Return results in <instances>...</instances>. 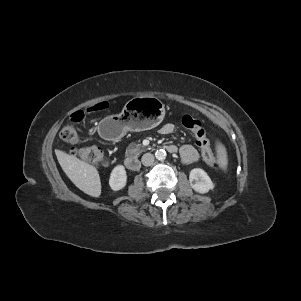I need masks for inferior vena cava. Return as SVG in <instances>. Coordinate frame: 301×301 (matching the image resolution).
Here are the masks:
<instances>
[{
  "label": "inferior vena cava",
  "instance_id": "602c4592",
  "mask_svg": "<svg viewBox=\"0 0 301 301\" xmlns=\"http://www.w3.org/2000/svg\"><path fill=\"white\" fill-rule=\"evenodd\" d=\"M141 161L144 166H150L154 162V156L151 153H146L142 156Z\"/></svg>",
  "mask_w": 301,
  "mask_h": 301
}]
</instances>
